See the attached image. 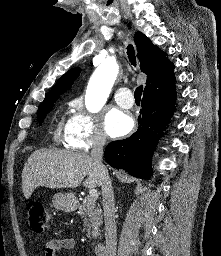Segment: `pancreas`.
Segmentation results:
<instances>
[{
	"label": "pancreas",
	"mask_w": 221,
	"mask_h": 256,
	"mask_svg": "<svg viewBox=\"0 0 221 256\" xmlns=\"http://www.w3.org/2000/svg\"><path fill=\"white\" fill-rule=\"evenodd\" d=\"M80 216L84 220V229L87 231V236H92L96 239L101 233L103 216L100 207L96 205L95 200L86 197L83 204L79 208Z\"/></svg>",
	"instance_id": "cf45deb5"
}]
</instances>
